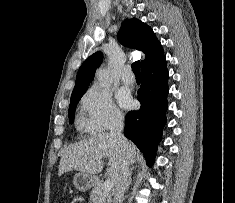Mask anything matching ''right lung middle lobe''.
<instances>
[{
    "label": "right lung middle lobe",
    "instance_id": "dd1d6c3e",
    "mask_svg": "<svg viewBox=\"0 0 235 203\" xmlns=\"http://www.w3.org/2000/svg\"><path fill=\"white\" fill-rule=\"evenodd\" d=\"M86 90H83L81 92L72 94L71 100H70V106H69V123L72 124L74 121V113L76 110V106L81 99L82 95L85 93Z\"/></svg>",
    "mask_w": 235,
    "mask_h": 203
}]
</instances>
